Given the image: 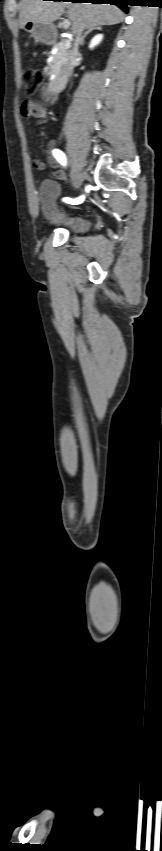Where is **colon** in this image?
<instances>
[{"mask_svg":"<svg viewBox=\"0 0 162 851\" xmlns=\"http://www.w3.org/2000/svg\"><path fill=\"white\" fill-rule=\"evenodd\" d=\"M24 81L28 93H34L41 84V74L36 70H26L24 72Z\"/></svg>","mask_w":162,"mask_h":851,"instance_id":"colon-1","label":"colon"}]
</instances>
